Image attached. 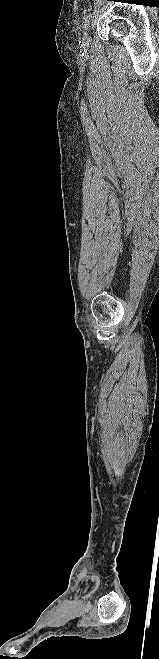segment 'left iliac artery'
Instances as JSON below:
<instances>
[{
	"mask_svg": "<svg viewBox=\"0 0 159 659\" xmlns=\"http://www.w3.org/2000/svg\"><path fill=\"white\" fill-rule=\"evenodd\" d=\"M91 18H92V13H89L84 17V25H83L84 28H86L89 25Z\"/></svg>",
	"mask_w": 159,
	"mask_h": 659,
	"instance_id": "44dca946",
	"label": "left iliac artery"
}]
</instances>
